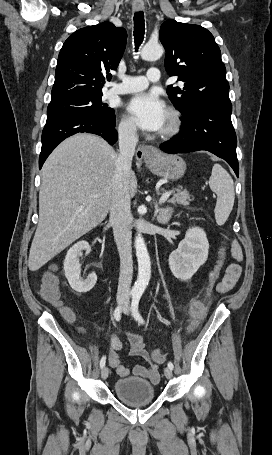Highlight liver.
Listing matches in <instances>:
<instances>
[{"mask_svg":"<svg viewBox=\"0 0 272 455\" xmlns=\"http://www.w3.org/2000/svg\"><path fill=\"white\" fill-rule=\"evenodd\" d=\"M118 155L102 138L80 133L64 140L48 157L41 172L39 223L28 266L37 271L107 216ZM130 197L137 179L128 178Z\"/></svg>","mask_w":272,"mask_h":455,"instance_id":"1","label":"liver"}]
</instances>
